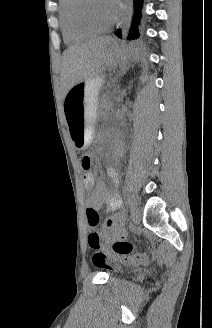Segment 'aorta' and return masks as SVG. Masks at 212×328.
<instances>
[{"instance_id":"762f6f07","label":"aorta","mask_w":212,"mask_h":328,"mask_svg":"<svg viewBox=\"0 0 212 328\" xmlns=\"http://www.w3.org/2000/svg\"><path fill=\"white\" fill-rule=\"evenodd\" d=\"M133 13V0H122L120 3V16H121V34L123 42H125L130 28Z\"/></svg>"}]
</instances>
